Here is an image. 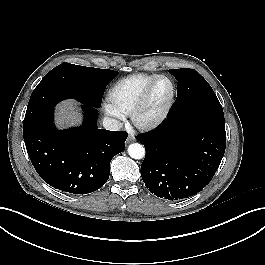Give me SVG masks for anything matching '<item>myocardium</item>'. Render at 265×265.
<instances>
[{"label":"myocardium","mask_w":265,"mask_h":265,"mask_svg":"<svg viewBox=\"0 0 265 265\" xmlns=\"http://www.w3.org/2000/svg\"><path fill=\"white\" fill-rule=\"evenodd\" d=\"M160 79H166L171 85V94L164 107V109L153 117H147L145 110L151 97L152 91ZM176 99V85L171 77L168 75L160 74L147 85L138 102L134 106L130 117L131 122L135 128L141 131H151L159 127L169 116Z\"/></svg>","instance_id":"myocardium-1"}]
</instances>
